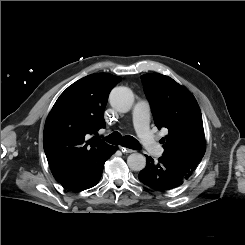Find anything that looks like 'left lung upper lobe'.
I'll list each match as a JSON object with an SVG mask.
<instances>
[{"label": "left lung upper lobe", "instance_id": "1", "mask_svg": "<svg viewBox=\"0 0 245 245\" xmlns=\"http://www.w3.org/2000/svg\"><path fill=\"white\" fill-rule=\"evenodd\" d=\"M141 78L155 125L168 130L160 140L164 143L163 156L195 170L206 150L202 114L196 99L168 76L151 73Z\"/></svg>", "mask_w": 245, "mask_h": 245}]
</instances>
